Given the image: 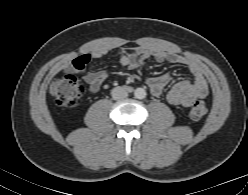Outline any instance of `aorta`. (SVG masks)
Masks as SVG:
<instances>
[{
  "label": "aorta",
  "instance_id": "762f6f07",
  "mask_svg": "<svg viewBox=\"0 0 248 195\" xmlns=\"http://www.w3.org/2000/svg\"><path fill=\"white\" fill-rule=\"evenodd\" d=\"M134 95L137 99H144L146 97V91L143 88H137Z\"/></svg>",
  "mask_w": 248,
  "mask_h": 195
}]
</instances>
